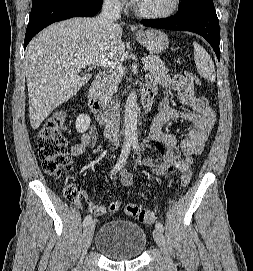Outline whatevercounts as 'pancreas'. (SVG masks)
<instances>
[{
  "mask_svg": "<svg viewBox=\"0 0 253 271\" xmlns=\"http://www.w3.org/2000/svg\"><path fill=\"white\" fill-rule=\"evenodd\" d=\"M145 62L150 64L149 70L158 75L168 74L169 69L165 67L164 62L156 55H148L145 57ZM123 74L118 71L109 72L101 81L99 86L100 98L102 101H107L117 91L118 85L121 82Z\"/></svg>",
  "mask_w": 253,
  "mask_h": 271,
  "instance_id": "1",
  "label": "pancreas"
}]
</instances>
